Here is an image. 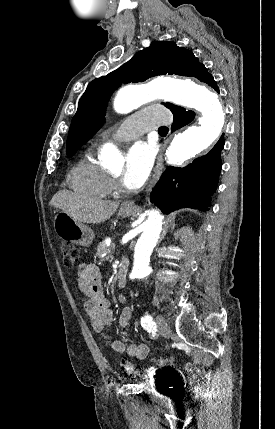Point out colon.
Masks as SVG:
<instances>
[{
    "instance_id": "5ec220e1",
    "label": "colon",
    "mask_w": 275,
    "mask_h": 429,
    "mask_svg": "<svg viewBox=\"0 0 275 429\" xmlns=\"http://www.w3.org/2000/svg\"><path fill=\"white\" fill-rule=\"evenodd\" d=\"M63 263L66 267H73L79 259V250L71 243H64L62 246ZM172 359L167 357L157 358L155 360V369L157 372L169 370L172 368ZM125 369L136 377V369L130 363L124 364Z\"/></svg>"
}]
</instances>
